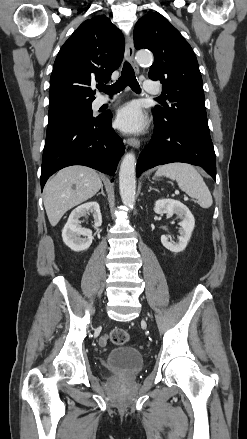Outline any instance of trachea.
Segmentation results:
<instances>
[{"instance_id":"trachea-1","label":"trachea","mask_w":247,"mask_h":439,"mask_svg":"<svg viewBox=\"0 0 247 439\" xmlns=\"http://www.w3.org/2000/svg\"><path fill=\"white\" fill-rule=\"evenodd\" d=\"M126 86H130V88L136 93L141 92L139 83L136 80L134 70L128 62L124 63L121 77L114 84L110 86L100 85L98 89L101 92L112 95L122 91Z\"/></svg>"}]
</instances>
